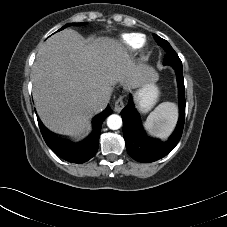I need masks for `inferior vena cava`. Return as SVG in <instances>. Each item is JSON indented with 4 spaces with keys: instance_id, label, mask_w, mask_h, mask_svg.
<instances>
[{
    "instance_id": "obj_1",
    "label": "inferior vena cava",
    "mask_w": 227,
    "mask_h": 227,
    "mask_svg": "<svg viewBox=\"0 0 227 227\" xmlns=\"http://www.w3.org/2000/svg\"><path fill=\"white\" fill-rule=\"evenodd\" d=\"M103 100H104V97L100 94H95L93 96V101H94L95 104H100V103L103 102Z\"/></svg>"
}]
</instances>
